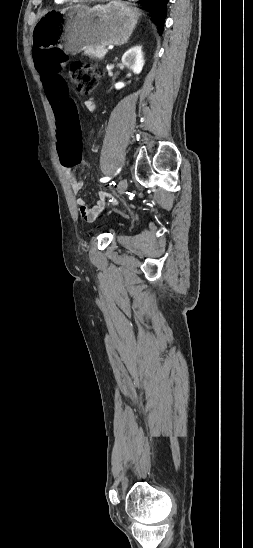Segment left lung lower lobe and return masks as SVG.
Returning <instances> with one entry per match:
<instances>
[{"label":"left lung lower lobe","instance_id":"0a47b994","mask_svg":"<svg viewBox=\"0 0 253 548\" xmlns=\"http://www.w3.org/2000/svg\"><path fill=\"white\" fill-rule=\"evenodd\" d=\"M169 0H140L139 3L148 8L155 18V24L160 32L163 31L164 20L166 17L167 3Z\"/></svg>","mask_w":253,"mask_h":548}]
</instances>
